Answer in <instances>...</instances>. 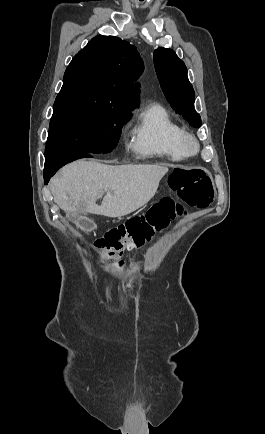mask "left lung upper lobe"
<instances>
[{"instance_id": "left-lung-upper-lobe-1", "label": "left lung upper lobe", "mask_w": 265, "mask_h": 434, "mask_svg": "<svg viewBox=\"0 0 265 434\" xmlns=\"http://www.w3.org/2000/svg\"><path fill=\"white\" fill-rule=\"evenodd\" d=\"M155 70L161 88L172 108L193 127L201 126V118L194 109L195 93L187 78V68L176 53L158 48L153 54Z\"/></svg>"}]
</instances>
